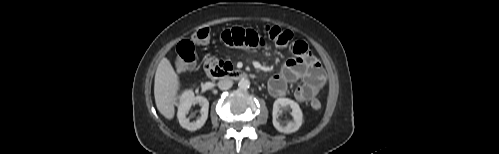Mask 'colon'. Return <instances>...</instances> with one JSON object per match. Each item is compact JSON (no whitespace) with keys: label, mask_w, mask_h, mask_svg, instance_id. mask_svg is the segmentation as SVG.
I'll return each instance as SVG.
<instances>
[{"label":"colon","mask_w":499,"mask_h":154,"mask_svg":"<svg viewBox=\"0 0 499 154\" xmlns=\"http://www.w3.org/2000/svg\"><path fill=\"white\" fill-rule=\"evenodd\" d=\"M266 36L277 46H286L292 40V33L288 30L282 29L278 26L269 25L265 29ZM210 36L209 29H201L194 33L189 39L181 41L176 48V57L174 66L177 71L183 72L191 69L196 64V54L194 43H201L208 40ZM207 67L215 69H222L224 64L214 60L206 63ZM310 106L314 110H319L322 103L319 99L314 98L310 102Z\"/></svg>","instance_id":"colon-1"}]
</instances>
